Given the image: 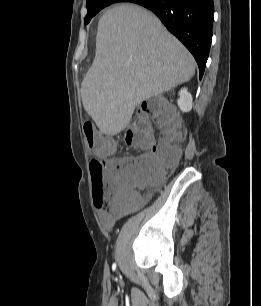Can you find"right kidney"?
Returning <instances> with one entry per match:
<instances>
[{"mask_svg": "<svg viewBox=\"0 0 261 306\" xmlns=\"http://www.w3.org/2000/svg\"><path fill=\"white\" fill-rule=\"evenodd\" d=\"M179 99L177 100L178 106L182 112H189L192 109V95L183 88L179 92Z\"/></svg>", "mask_w": 261, "mask_h": 306, "instance_id": "ca27d5eb", "label": "right kidney"}]
</instances>
